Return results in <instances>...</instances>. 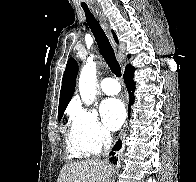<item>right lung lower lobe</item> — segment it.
Returning <instances> with one entry per match:
<instances>
[{"label": "right lung lower lobe", "mask_w": 196, "mask_h": 182, "mask_svg": "<svg viewBox=\"0 0 196 182\" xmlns=\"http://www.w3.org/2000/svg\"><path fill=\"white\" fill-rule=\"evenodd\" d=\"M134 71L135 68L131 65H128L125 69V73H124V81L129 93V107H128V111L130 113V106L134 103V90H135V82L133 81V76H134ZM130 117V115H129ZM122 147V142L119 139L118 142L115 144V146L113 147V151L110 153V155H112V157L110 158V161L113 164H117V158L116 156H114L115 152L118 151L120 148Z\"/></svg>", "instance_id": "1"}]
</instances>
